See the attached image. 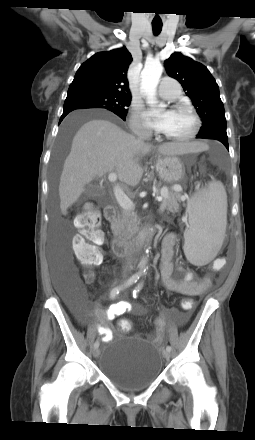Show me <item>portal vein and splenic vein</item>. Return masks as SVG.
Here are the masks:
<instances>
[{
  "label": "portal vein and splenic vein",
  "mask_w": 255,
  "mask_h": 440,
  "mask_svg": "<svg viewBox=\"0 0 255 440\" xmlns=\"http://www.w3.org/2000/svg\"><path fill=\"white\" fill-rule=\"evenodd\" d=\"M108 179L110 182L114 183L117 180V175L114 172L109 173ZM113 192L115 195V198L120 205V207L124 210H132L134 208L133 201L123 192V190L119 187V185L115 184L113 188ZM161 196H165V194H162ZM158 199H162V197H159ZM163 207H161V210Z\"/></svg>",
  "instance_id": "portal-vein-and-splenic-vein-1"
}]
</instances>
